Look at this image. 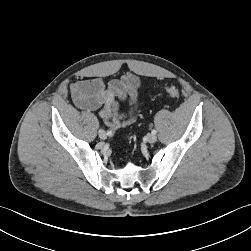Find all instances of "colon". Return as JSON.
Masks as SVG:
<instances>
[{
  "label": "colon",
  "mask_w": 251,
  "mask_h": 251,
  "mask_svg": "<svg viewBox=\"0 0 251 251\" xmlns=\"http://www.w3.org/2000/svg\"><path fill=\"white\" fill-rule=\"evenodd\" d=\"M165 91H166V93L169 96H171L173 98H179V96H180L179 90L176 87H174V86H168V87H166Z\"/></svg>",
  "instance_id": "5ec220e1"
}]
</instances>
